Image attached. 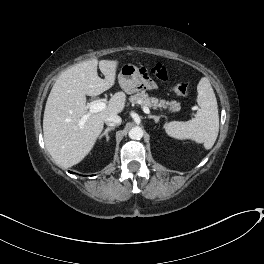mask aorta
I'll list each match as a JSON object with an SVG mask.
<instances>
[{
  "label": "aorta",
  "mask_w": 264,
  "mask_h": 264,
  "mask_svg": "<svg viewBox=\"0 0 264 264\" xmlns=\"http://www.w3.org/2000/svg\"><path fill=\"white\" fill-rule=\"evenodd\" d=\"M129 137L133 140H140L143 137V130L141 127H133L129 131Z\"/></svg>",
  "instance_id": "1"
}]
</instances>
